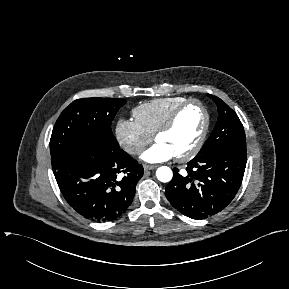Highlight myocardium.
Returning a JSON list of instances; mask_svg holds the SVG:
<instances>
[{
  "instance_id": "obj_1",
  "label": "myocardium",
  "mask_w": 289,
  "mask_h": 289,
  "mask_svg": "<svg viewBox=\"0 0 289 289\" xmlns=\"http://www.w3.org/2000/svg\"><path fill=\"white\" fill-rule=\"evenodd\" d=\"M193 104L198 105L201 108L204 114V118H205L204 126L202 128V131L196 143L193 145V147L190 150H188L186 153L179 155V156H175V159L179 162H185L195 157L199 153V151L201 150V148L203 147L205 143L206 137L209 132L210 120H211L209 111L207 107L205 106V104L198 99H194V98L187 99L186 101L181 103L172 111V113L169 115L166 121L158 128V130L154 134V140H157V138L160 135L169 132L174 127L177 119L179 118L180 114L184 111V109Z\"/></svg>"
}]
</instances>
